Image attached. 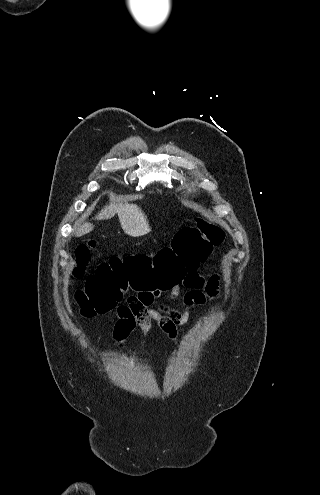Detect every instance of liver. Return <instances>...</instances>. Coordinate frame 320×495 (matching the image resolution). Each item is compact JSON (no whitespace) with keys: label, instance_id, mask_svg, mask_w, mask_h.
Segmentation results:
<instances>
[{"label":"liver","instance_id":"obj_1","mask_svg":"<svg viewBox=\"0 0 320 495\" xmlns=\"http://www.w3.org/2000/svg\"><path fill=\"white\" fill-rule=\"evenodd\" d=\"M118 214V218L123 231L133 237L142 236L150 232L147 217L136 204H122L111 202L105 206L95 219L107 220ZM94 226L90 222H84L75 228V236L81 237L93 230Z\"/></svg>","mask_w":320,"mask_h":495}]
</instances>
